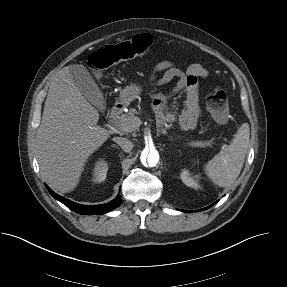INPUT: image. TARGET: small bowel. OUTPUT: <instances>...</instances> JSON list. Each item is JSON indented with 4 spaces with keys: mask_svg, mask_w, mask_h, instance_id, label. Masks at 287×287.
Instances as JSON below:
<instances>
[{
    "mask_svg": "<svg viewBox=\"0 0 287 287\" xmlns=\"http://www.w3.org/2000/svg\"><path fill=\"white\" fill-rule=\"evenodd\" d=\"M207 76V70L198 63L189 65L186 71L181 70L169 60L156 64L150 75V81L153 85L162 86L173 79H178L169 93L151 94L153 110L160 124L177 122L183 130H191L196 126L201 116L198 96L199 79H204ZM182 91L186 93V100L180 116L176 117L168 110L167 101Z\"/></svg>",
    "mask_w": 287,
    "mask_h": 287,
    "instance_id": "small-bowel-1",
    "label": "small bowel"
}]
</instances>
